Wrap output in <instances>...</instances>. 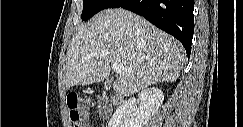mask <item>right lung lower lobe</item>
Wrapping results in <instances>:
<instances>
[{"mask_svg": "<svg viewBox=\"0 0 243 127\" xmlns=\"http://www.w3.org/2000/svg\"><path fill=\"white\" fill-rule=\"evenodd\" d=\"M130 10L173 35L191 53L194 0H117L111 8Z\"/></svg>", "mask_w": 243, "mask_h": 127, "instance_id": "obj_1", "label": "right lung lower lobe"}]
</instances>
